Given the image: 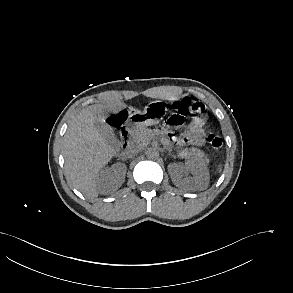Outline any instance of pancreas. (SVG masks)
Returning a JSON list of instances; mask_svg holds the SVG:
<instances>
[{
    "mask_svg": "<svg viewBox=\"0 0 293 293\" xmlns=\"http://www.w3.org/2000/svg\"><path fill=\"white\" fill-rule=\"evenodd\" d=\"M155 132L146 127H140L134 130L130 137V144L136 147H142L149 144ZM178 157H195L197 159H206L204 152L197 148L185 149L181 153H177Z\"/></svg>",
    "mask_w": 293,
    "mask_h": 293,
    "instance_id": "obj_1",
    "label": "pancreas"
}]
</instances>
